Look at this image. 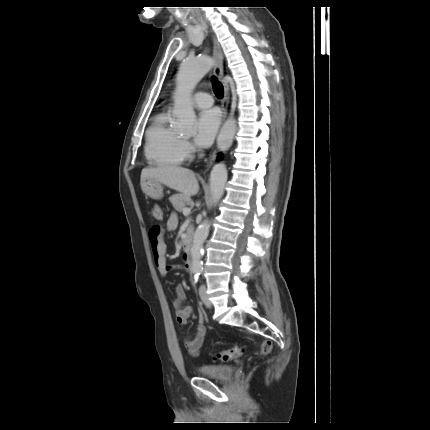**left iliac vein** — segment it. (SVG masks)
Masks as SVG:
<instances>
[{
	"label": "left iliac vein",
	"mask_w": 430,
	"mask_h": 430,
	"mask_svg": "<svg viewBox=\"0 0 430 430\" xmlns=\"http://www.w3.org/2000/svg\"><path fill=\"white\" fill-rule=\"evenodd\" d=\"M199 295L201 297L202 302L205 304V306L208 308L211 307V302L206 293V286L204 284H202L199 288Z\"/></svg>",
	"instance_id": "left-iliac-vein-1"
}]
</instances>
